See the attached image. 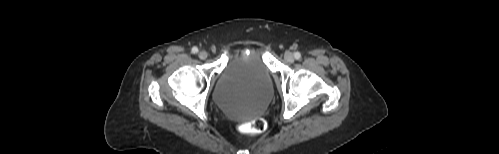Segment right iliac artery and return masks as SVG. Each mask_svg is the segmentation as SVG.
<instances>
[{
  "instance_id": "obj_1",
  "label": "right iliac artery",
  "mask_w": 499,
  "mask_h": 154,
  "mask_svg": "<svg viewBox=\"0 0 499 154\" xmlns=\"http://www.w3.org/2000/svg\"><path fill=\"white\" fill-rule=\"evenodd\" d=\"M198 51H199V50H198V48H197V47H193V48H192V53L196 54V53H198Z\"/></svg>"
}]
</instances>
